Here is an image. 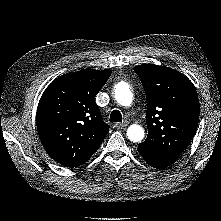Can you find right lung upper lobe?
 Wrapping results in <instances>:
<instances>
[{"mask_svg": "<svg viewBox=\"0 0 221 221\" xmlns=\"http://www.w3.org/2000/svg\"><path fill=\"white\" fill-rule=\"evenodd\" d=\"M111 71L84 69L55 79L38 104L36 122L41 143L58 163L84 164L100 147L109 125L101 116L95 96Z\"/></svg>", "mask_w": 221, "mask_h": 221, "instance_id": "right-lung-upper-lobe-1", "label": "right lung upper lobe"}]
</instances>
